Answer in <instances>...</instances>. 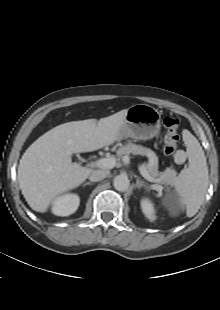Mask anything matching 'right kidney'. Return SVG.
Returning a JSON list of instances; mask_svg holds the SVG:
<instances>
[{
    "mask_svg": "<svg viewBox=\"0 0 220 310\" xmlns=\"http://www.w3.org/2000/svg\"><path fill=\"white\" fill-rule=\"evenodd\" d=\"M80 198L77 194L66 193L58 196L52 204V213L57 216L73 214L79 206Z\"/></svg>",
    "mask_w": 220,
    "mask_h": 310,
    "instance_id": "obj_1",
    "label": "right kidney"
}]
</instances>
